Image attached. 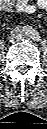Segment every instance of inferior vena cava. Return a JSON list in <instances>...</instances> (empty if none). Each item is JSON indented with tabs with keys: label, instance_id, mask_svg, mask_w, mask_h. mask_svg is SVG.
Masks as SVG:
<instances>
[{
	"label": "inferior vena cava",
	"instance_id": "inferior-vena-cava-1",
	"mask_svg": "<svg viewBox=\"0 0 47 129\" xmlns=\"http://www.w3.org/2000/svg\"><path fill=\"white\" fill-rule=\"evenodd\" d=\"M12 37H13L14 39L18 40V39L21 38V35H19V34L13 32V33H12Z\"/></svg>",
	"mask_w": 47,
	"mask_h": 129
}]
</instances>
